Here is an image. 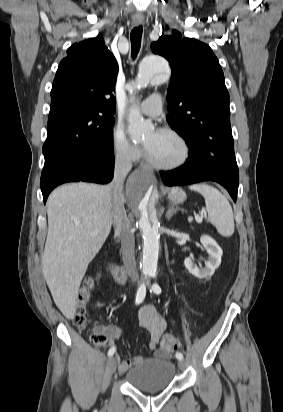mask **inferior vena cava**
Here are the masks:
<instances>
[{
    "label": "inferior vena cava",
    "instance_id": "inferior-vena-cava-1",
    "mask_svg": "<svg viewBox=\"0 0 283 412\" xmlns=\"http://www.w3.org/2000/svg\"><path fill=\"white\" fill-rule=\"evenodd\" d=\"M131 168L130 158L124 154H118L115 159L114 177L109 188L111 190L112 223L121 240L123 263L130 278L137 281L139 276L135 261V237L131 222L127 217L122 194L124 179Z\"/></svg>",
    "mask_w": 283,
    "mask_h": 412
}]
</instances>
